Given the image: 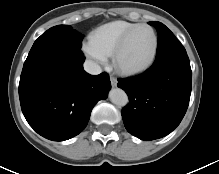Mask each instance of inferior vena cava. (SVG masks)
<instances>
[{"instance_id": "obj_1", "label": "inferior vena cava", "mask_w": 219, "mask_h": 174, "mask_svg": "<svg viewBox=\"0 0 219 174\" xmlns=\"http://www.w3.org/2000/svg\"><path fill=\"white\" fill-rule=\"evenodd\" d=\"M84 70L91 75H98L102 72L101 67L91 60H86L84 63Z\"/></svg>"}]
</instances>
